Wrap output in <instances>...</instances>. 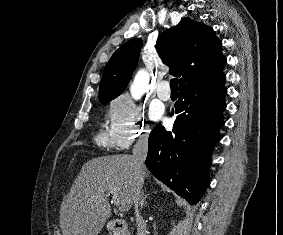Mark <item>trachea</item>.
<instances>
[{
	"label": "trachea",
	"instance_id": "obj_1",
	"mask_svg": "<svg viewBox=\"0 0 283 235\" xmlns=\"http://www.w3.org/2000/svg\"><path fill=\"white\" fill-rule=\"evenodd\" d=\"M170 88L171 90H178V79L177 78H173L170 81Z\"/></svg>",
	"mask_w": 283,
	"mask_h": 235
}]
</instances>
